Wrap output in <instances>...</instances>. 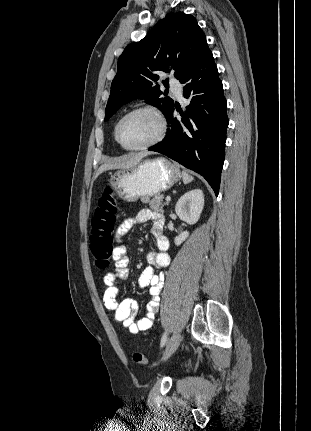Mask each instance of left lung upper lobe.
Returning a JSON list of instances; mask_svg holds the SVG:
<instances>
[{"label":"left lung upper lobe","instance_id":"left-lung-upper-lobe-1","mask_svg":"<svg viewBox=\"0 0 311 431\" xmlns=\"http://www.w3.org/2000/svg\"><path fill=\"white\" fill-rule=\"evenodd\" d=\"M208 49L205 34L192 15L167 14L145 38L128 45L119 57L104 121L136 97L144 98L167 116L173 100L161 97L157 73L173 69L180 80Z\"/></svg>","mask_w":311,"mask_h":431}]
</instances>
